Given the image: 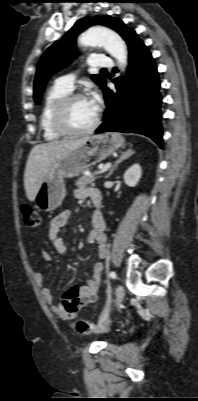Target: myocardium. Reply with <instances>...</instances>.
<instances>
[{
	"instance_id": "obj_1",
	"label": "myocardium",
	"mask_w": 198,
	"mask_h": 401,
	"mask_svg": "<svg viewBox=\"0 0 198 401\" xmlns=\"http://www.w3.org/2000/svg\"><path fill=\"white\" fill-rule=\"evenodd\" d=\"M87 98L83 93H69L59 100L54 108L52 115V123L54 128L63 136H81L93 132L100 124L101 110L97 109V114L93 123L84 129H73L67 122L68 108L72 102L78 99Z\"/></svg>"
}]
</instances>
